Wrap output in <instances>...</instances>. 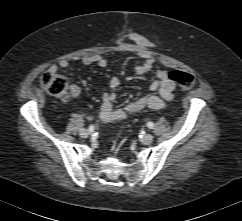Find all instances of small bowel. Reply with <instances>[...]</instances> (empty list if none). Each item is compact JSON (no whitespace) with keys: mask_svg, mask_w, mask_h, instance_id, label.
Here are the masks:
<instances>
[{"mask_svg":"<svg viewBox=\"0 0 242 221\" xmlns=\"http://www.w3.org/2000/svg\"><path fill=\"white\" fill-rule=\"evenodd\" d=\"M118 48L122 51L131 52L141 59V62L135 67L136 74L142 75L153 69L156 58L142 37L130 35L118 45ZM82 64L85 66L96 64L104 68L107 66V60L101 55H89L82 58ZM68 66L69 61L63 59L57 65H51L49 70L56 72L59 68L65 69ZM167 73V70H155V79L149 86L151 93L144 94L120 108H114L113 103L117 96L116 90L121 82L118 77L111 78L108 83L111 91L105 93L102 98L100 119L103 122L124 120L129 115L144 109L159 110L165 108L173 99L175 90V84L167 78ZM70 94L72 97H77L80 94V88L72 85Z\"/></svg>","mask_w":242,"mask_h":221,"instance_id":"1","label":"small bowel"}]
</instances>
